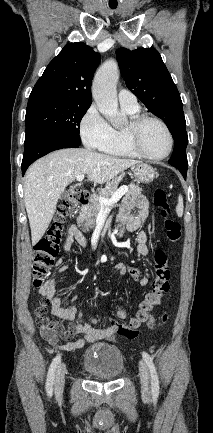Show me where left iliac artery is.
Returning <instances> with one entry per match:
<instances>
[{
  "label": "left iliac artery",
  "instance_id": "left-iliac-artery-1",
  "mask_svg": "<svg viewBox=\"0 0 213 433\" xmlns=\"http://www.w3.org/2000/svg\"><path fill=\"white\" fill-rule=\"evenodd\" d=\"M142 357L149 367V370L151 373L152 396L154 399H156L159 395V380H158L156 368H155V365L153 363L151 356L147 352H142Z\"/></svg>",
  "mask_w": 213,
  "mask_h": 433
}]
</instances>
